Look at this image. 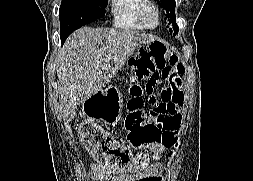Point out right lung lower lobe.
<instances>
[{"mask_svg":"<svg viewBox=\"0 0 253 181\" xmlns=\"http://www.w3.org/2000/svg\"><path fill=\"white\" fill-rule=\"evenodd\" d=\"M69 35H70V34L61 35V42H62V44L64 43V41L66 40V38H67Z\"/></svg>","mask_w":253,"mask_h":181,"instance_id":"98d812e1","label":"right lung lower lobe"}]
</instances>
